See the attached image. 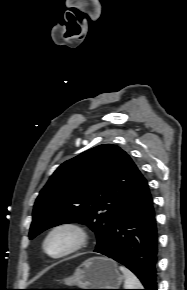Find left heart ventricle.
<instances>
[{
  "mask_svg": "<svg viewBox=\"0 0 187 290\" xmlns=\"http://www.w3.org/2000/svg\"><path fill=\"white\" fill-rule=\"evenodd\" d=\"M72 242V237L66 232L55 234L48 242V250L51 253H59L65 250Z\"/></svg>",
  "mask_w": 187,
  "mask_h": 290,
  "instance_id": "left-heart-ventricle-1",
  "label": "left heart ventricle"
}]
</instances>
